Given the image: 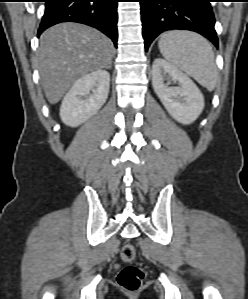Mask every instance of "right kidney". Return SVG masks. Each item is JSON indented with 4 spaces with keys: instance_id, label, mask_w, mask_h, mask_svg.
<instances>
[{
    "instance_id": "obj_1",
    "label": "right kidney",
    "mask_w": 248,
    "mask_h": 299,
    "mask_svg": "<svg viewBox=\"0 0 248 299\" xmlns=\"http://www.w3.org/2000/svg\"><path fill=\"white\" fill-rule=\"evenodd\" d=\"M110 74L103 69L78 79L65 95L60 117L64 124L77 127L96 114L107 100Z\"/></svg>"
}]
</instances>
